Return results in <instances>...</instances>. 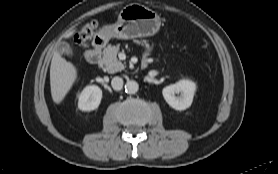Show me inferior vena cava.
<instances>
[{
    "label": "inferior vena cava",
    "instance_id": "inferior-vena-cava-1",
    "mask_svg": "<svg viewBox=\"0 0 278 174\" xmlns=\"http://www.w3.org/2000/svg\"><path fill=\"white\" fill-rule=\"evenodd\" d=\"M112 88L119 91L123 88V79L121 77H114L111 81Z\"/></svg>",
    "mask_w": 278,
    "mask_h": 174
}]
</instances>
